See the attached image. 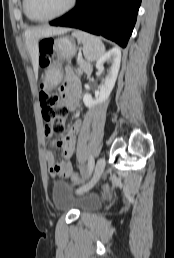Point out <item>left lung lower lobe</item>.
I'll return each instance as SVG.
<instances>
[{"instance_id": "1", "label": "left lung lower lobe", "mask_w": 174, "mask_h": 258, "mask_svg": "<svg viewBox=\"0 0 174 258\" xmlns=\"http://www.w3.org/2000/svg\"><path fill=\"white\" fill-rule=\"evenodd\" d=\"M141 0H78L76 7L53 26L78 28L101 35L126 47L132 34Z\"/></svg>"}]
</instances>
